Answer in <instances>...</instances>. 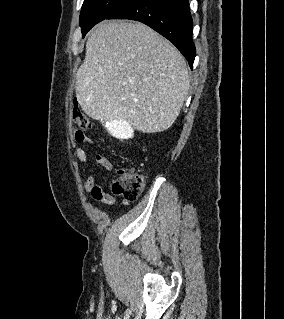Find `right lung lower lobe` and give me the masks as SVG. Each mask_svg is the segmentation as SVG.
<instances>
[{"label": "right lung lower lobe", "instance_id": "right-lung-lower-lobe-1", "mask_svg": "<svg viewBox=\"0 0 284 319\" xmlns=\"http://www.w3.org/2000/svg\"><path fill=\"white\" fill-rule=\"evenodd\" d=\"M107 19H131L150 26L171 41L193 67L196 49L188 0H132Z\"/></svg>", "mask_w": 284, "mask_h": 319}]
</instances>
